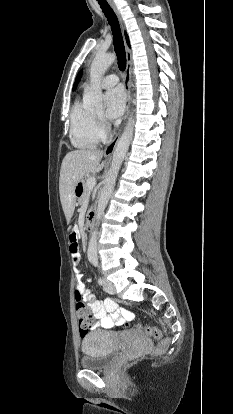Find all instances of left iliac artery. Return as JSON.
I'll return each mask as SVG.
<instances>
[{
  "label": "left iliac artery",
  "instance_id": "obj_1",
  "mask_svg": "<svg viewBox=\"0 0 233 414\" xmlns=\"http://www.w3.org/2000/svg\"><path fill=\"white\" fill-rule=\"evenodd\" d=\"M93 265L95 266V267H98V263L97 262H94L93 263ZM98 283L100 284V285H103L104 284V279L103 278H98Z\"/></svg>",
  "mask_w": 233,
  "mask_h": 414
}]
</instances>
